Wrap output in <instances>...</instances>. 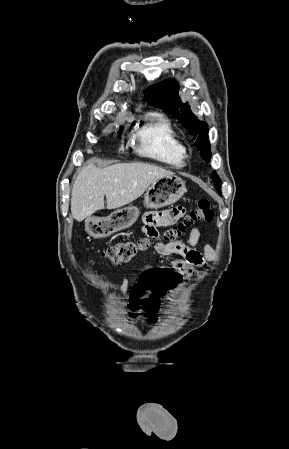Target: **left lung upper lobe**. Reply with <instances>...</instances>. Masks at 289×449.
<instances>
[{
	"label": "left lung upper lobe",
	"mask_w": 289,
	"mask_h": 449,
	"mask_svg": "<svg viewBox=\"0 0 289 449\" xmlns=\"http://www.w3.org/2000/svg\"><path fill=\"white\" fill-rule=\"evenodd\" d=\"M178 91L179 85L174 80H166L148 87L144 95L150 105L161 108L167 114L175 116L193 137L197 138L196 146L200 150L203 159L208 162L211 157L208 126L191 112L187 107L188 103L181 101ZM185 107L189 110H182ZM212 179L217 191L221 194V180L216 172H213Z\"/></svg>",
	"instance_id": "left-lung-upper-lobe-1"
}]
</instances>
